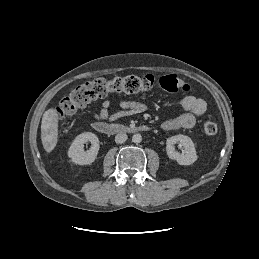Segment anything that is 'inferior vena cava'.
Masks as SVG:
<instances>
[{
  "instance_id": "obj_1",
  "label": "inferior vena cava",
  "mask_w": 259,
  "mask_h": 259,
  "mask_svg": "<svg viewBox=\"0 0 259 259\" xmlns=\"http://www.w3.org/2000/svg\"><path fill=\"white\" fill-rule=\"evenodd\" d=\"M127 135L125 133H118L116 136H115V142L118 143V144H122L124 143L126 140H127Z\"/></svg>"
}]
</instances>
